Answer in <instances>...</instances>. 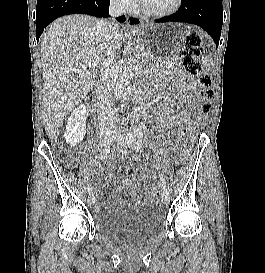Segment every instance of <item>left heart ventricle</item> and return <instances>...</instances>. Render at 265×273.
<instances>
[{
    "mask_svg": "<svg viewBox=\"0 0 265 273\" xmlns=\"http://www.w3.org/2000/svg\"><path fill=\"white\" fill-rule=\"evenodd\" d=\"M144 5L153 11H164L171 8L175 0H142Z\"/></svg>",
    "mask_w": 265,
    "mask_h": 273,
    "instance_id": "1",
    "label": "left heart ventricle"
}]
</instances>
